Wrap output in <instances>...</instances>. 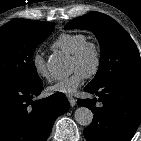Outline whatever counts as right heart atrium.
Returning a JSON list of instances; mask_svg holds the SVG:
<instances>
[{
    "mask_svg": "<svg viewBox=\"0 0 141 141\" xmlns=\"http://www.w3.org/2000/svg\"><path fill=\"white\" fill-rule=\"evenodd\" d=\"M32 65L38 76L49 77V71L44 57L40 53H35L32 57Z\"/></svg>",
    "mask_w": 141,
    "mask_h": 141,
    "instance_id": "1",
    "label": "right heart atrium"
}]
</instances>
